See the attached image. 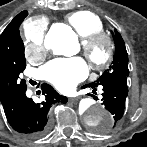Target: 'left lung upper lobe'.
<instances>
[{
	"instance_id": "obj_1",
	"label": "left lung upper lobe",
	"mask_w": 147,
	"mask_h": 147,
	"mask_svg": "<svg viewBox=\"0 0 147 147\" xmlns=\"http://www.w3.org/2000/svg\"><path fill=\"white\" fill-rule=\"evenodd\" d=\"M113 39L115 43V56L112 62V65L106 70L102 76L93 83L88 84L92 87L99 86L102 82L117 78L120 76H128V55L125 47V43L120 35L116 30L113 33Z\"/></svg>"
}]
</instances>
